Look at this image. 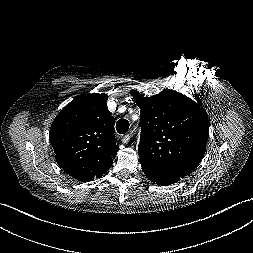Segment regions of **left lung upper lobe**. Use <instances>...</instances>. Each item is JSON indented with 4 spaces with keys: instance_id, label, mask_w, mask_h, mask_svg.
Here are the masks:
<instances>
[{
    "instance_id": "left-lung-upper-lobe-1",
    "label": "left lung upper lobe",
    "mask_w": 253,
    "mask_h": 253,
    "mask_svg": "<svg viewBox=\"0 0 253 253\" xmlns=\"http://www.w3.org/2000/svg\"><path fill=\"white\" fill-rule=\"evenodd\" d=\"M140 110V161L164 173L187 176L206 150L209 124L200 105L187 96L165 89L143 97L130 91Z\"/></svg>"
}]
</instances>
